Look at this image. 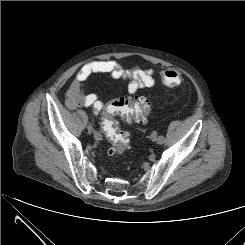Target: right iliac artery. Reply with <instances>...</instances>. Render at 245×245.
Segmentation results:
<instances>
[{"label": "right iliac artery", "mask_w": 245, "mask_h": 245, "mask_svg": "<svg viewBox=\"0 0 245 245\" xmlns=\"http://www.w3.org/2000/svg\"><path fill=\"white\" fill-rule=\"evenodd\" d=\"M97 134H98V136H99V139L101 140L102 139V136H101V134H99V132H97V131H95Z\"/></svg>", "instance_id": "obj_1"}]
</instances>
